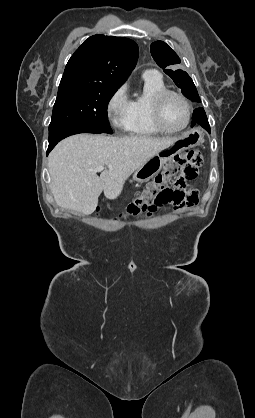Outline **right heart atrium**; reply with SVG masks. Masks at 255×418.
Wrapping results in <instances>:
<instances>
[{
	"instance_id": "right-heart-atrium-1",
	"label": "right heart atrium",
	"mask_w": 255,
	"mask_h": 418,
	"mask_svg": "<svg viewBox=\"0 0 255 418\" xmlns=\"http://www.w3.org/2000/svg\"><path fill=\"white\" fill-rule=\"evenodd\" d=\"M106 113L111 125L118 130H127L130 122L131 100L125 85L120 86L109 98Z\"/></svg>"
}]
</instances>
